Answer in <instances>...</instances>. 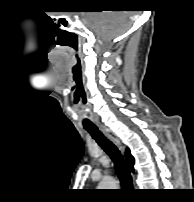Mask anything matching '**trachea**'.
I'll return each mask as SVG.
<instances>
[{"label": "trachea", "mask_w": 194, "mask_h": 202, "mask_svg": "<svg viewBox=\"0 0 194 202\" xmlns=\"http://www.w3.org/2000/svg\"><path fill=\"white\" fill-rule=\"evenodd\" d=\"M84 128L91 134V136L102 147V149L111 157L112 161L114 162L116 174L120 179L121 185L125 188H132V177L129 172L128 165L122 158L116 146L108 139H106L95 125H84Z\"/></svg>", "instance_id": "trachea-1"}]
</instances>
